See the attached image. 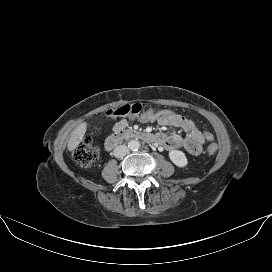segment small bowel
<instances>
[{
  "mask_svg": "<svg viewBox=\"0 0 272 272\" xmlns=\"http://www.w3.org/2000/svg\"><path fill=\"white\" fill-rule=\"evenodd\" d=\"M158 124L164 127H177L182 129L186 135L182 137L178 134H158V141L167 149L175 150L183 148L189 154L197 156L202 152L203 145L207 141L213 140V135L208 131L200 130L195 123L182 115L163 116L157 120ZM126 120H121L115 125V129L126 127Z\"/></svg>",
  "mask_w": 272,
  "mask_h": 272,
  "instance_id": "obj_1",
  "label": "small bowel"
}]
</instances>
